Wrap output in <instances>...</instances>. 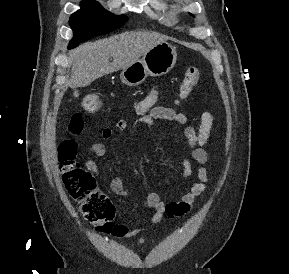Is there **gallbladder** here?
Segmentation results:
<instances>
[{
    "instance_id": "gallbladder-1",
    "label": "gallbladder",
    "mask_w": 289,
    "mask_h": 274,
    "mask_svg": "<svg viewBox=\"0 0 289 274\" xmlns=\"http://www.w3.org/2000/svg\"><path fill=\"white\" fill-rule=\"evenodd\" d=\"M73 95H74L75 97H78L79 94H78L77 91H74Z\"/></svg>"
}]
</instances>
